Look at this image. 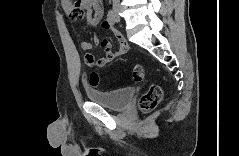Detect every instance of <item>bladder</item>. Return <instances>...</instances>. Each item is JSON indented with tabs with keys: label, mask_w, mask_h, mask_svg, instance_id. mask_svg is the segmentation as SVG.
I'll return each mask as SVG.
<instances>
[{
	"label": "bladder",
	"mask_w": 239,
	"mask_h": 156,
	"mask_svg": "<svg viewBox=\"0 0 239 156\" xmlns=\"http://www.w3.org/2000/svg\"><path fill=\"white\" fill-rule=\"evenodd\" d=\"M86 94L91 102L99 104L109 110L120 111L131 103L135 89L126 87L102 91L88 88L86 89Z\"/></svg>",
	"instance_id": "31cf9c89"
}]
</instances>
